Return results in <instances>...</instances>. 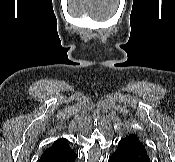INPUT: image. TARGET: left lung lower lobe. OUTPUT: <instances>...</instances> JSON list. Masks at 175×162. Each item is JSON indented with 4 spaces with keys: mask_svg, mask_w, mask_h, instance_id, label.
<instances>
[{
    "mask_svg": "<svg viewBox=\"0 0 175 162\" xmlns=\"http://www.w3.org/2000/svg\"><path fill=\"white\" fill-rule=\"evenodd\" d=\"M108 162H150L144 145L139 138L130 134L118 143L115 153Z\"/></svg>",
    "mask_w": 175,
    "mask_h": 162,
    "instance_id": "obj_1",
    "label": "left lung lower lobe"
}]
</instances>
